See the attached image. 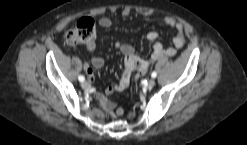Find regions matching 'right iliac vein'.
<instances>
[{"instance_id":"right-iliac-vein-1","label":"right iliac vein","mask_w":247,"mask_h":145,"mask_svg":"<svg viewBox=\"0 0 247 145\" xmlns=\"http://www.w3.org/2000/svg\"><path fill=\"white\" fill-rule=\"evenodd\" d=\"M81 87L84 89V90H88L90 88V84L88 82H82L81 84Z\"/></svg>"}]
</instances>
